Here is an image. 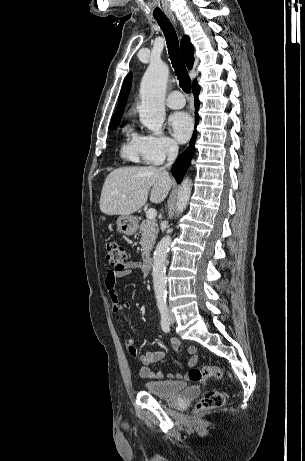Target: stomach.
Wrapping results in <instances>:
<instances>
[{
    "label": "stomach",
    "instance_id": "0dacf381",
    "mask_svg": "<svg viewBox=\"0 0 305 461\" xmlns=\"http://www.w3.org/2000/svg\"><path fill=\"white\" fill-rule=\"evenodd\" d=\"M116 223L119 232L127 236L133 235L138 228L137 219L131 215L119 216Z\"/></svg>",
    "mask_w": 305,
    "mask_h": 461
}]
</instances>
